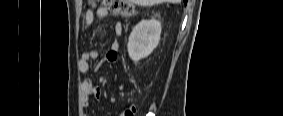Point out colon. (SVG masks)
Here are the masks:
<instances>
[{"mask_svg": "<svg viewBox=\"0 0 283 116\" xmlns=\"http://www.w3.org/2000/svg\"><path fill=\"white\" fill-rule=\"evenodd\" d=\"M108 11L121 17L131 18L136 14L134 2L131 0H104ZM135 107L130 106L123 112L124 116H133Z\"/></svg>", "mask_w": 283, "mask_h": 116, "instance_id": "1", "label": "colon"}]
</instances>
